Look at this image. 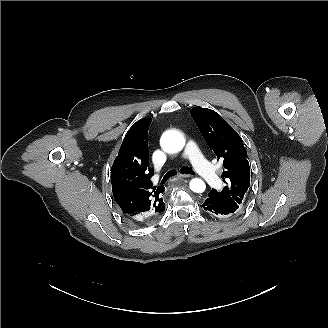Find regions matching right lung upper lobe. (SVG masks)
Segmentation results:
<instances>
[{"instance_id": "cb5924a9", "label": "right lung upper lobe", "mask_w": 328, "mask_h": 328, "mask_svg": "<svg viewBox=\"0 0 328 328\" xmlns=\"http://www.w3.org/2000/svg\"><path fill=\"white\" fill-rule=\"evenodd\" d=\"M152 119L131 126L125 135L111 171L113 196L124 215L142 226L157 219L164 211L165 188L152 185L149 167L148 129Z\"/></svg>"}]
</instances>
